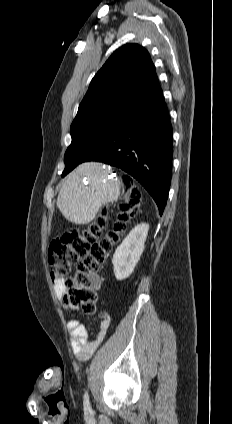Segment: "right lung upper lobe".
<instances>
[{
    "label": "right lung upper lobe",
    "mask_w": 232,
    "mask_h": 424,
    "mask_svg": "<svg viewBox=\"0 0 232 424\" xmlns=\"http://www.w3.org/2000/svg\"><path fill=\"white\" fill-rule=\"evenodd\" d=\"M159 91L148 51L138 44H127L117 49L91 80L78 113L109 103L133 105Z\"/></svg>",
    "instance_id": "cb5924a9"
}]
</instances>
